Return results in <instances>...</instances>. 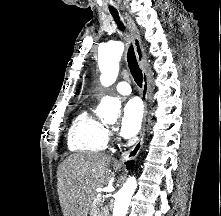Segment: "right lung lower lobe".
Returning a JSON list of instances; mask_svg holds the SVG:
<instances>
[{"label": "right lung lower lobe", "mask_w": 221, "mask_h": 216, "mask_svg": "<svg viewBox=\"0 0 221 216\" xmlns=\"http://www.w3.org/2000/svg\"><path fill=\"white\" fill-rule=\"evenodd\" d=\"M133 161L126 162L127 168L130 169L133 166Z\"/></svg>", "instance_id": "98d812e1"}]
</instances>
